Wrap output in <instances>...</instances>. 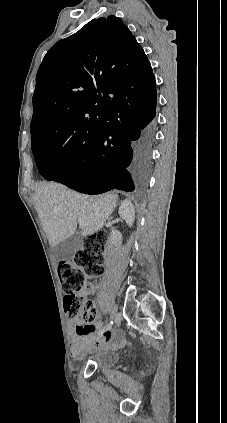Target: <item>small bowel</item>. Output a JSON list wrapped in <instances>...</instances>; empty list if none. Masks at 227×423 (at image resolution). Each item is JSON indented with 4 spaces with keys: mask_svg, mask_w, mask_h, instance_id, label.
I'll return each instance as SVG.
<instances>
[{
    "mask_svg": "<svg viewBox=\"0 0 227 423\" xmlns=\"http://www.w3.org/2000/svg\"><path fill=\"white\" fill-rule=\"evenodd\" d=\"M92 285H88L83 291L88 294L92 291ZM100 324L94 320L89 323L80 324V331L70 333V353L73 357H79L85 350L100 347H119L123 344L124 339L119 330H105L98 337H94V333Z\"/></svg>",
    "mask_w": 227,
    "mask_h": 423,
    "instance_id": "small-bowel-1",
    "label": "small bowel"
}]
</instances>
